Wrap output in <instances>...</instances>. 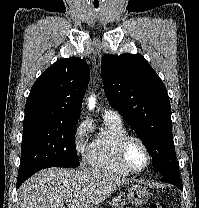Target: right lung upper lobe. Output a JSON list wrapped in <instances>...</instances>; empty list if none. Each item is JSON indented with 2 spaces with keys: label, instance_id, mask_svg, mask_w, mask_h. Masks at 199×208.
<instances>
[{
  "label": "right lung upper lobe",
  "instance_id": "right-lung-upper-lobe-1",
  "mask_svg": "<svg viewBox=\"0 0 199 208\" xmlns=\"http://www.w3.org/2000/svg\"><path fill=\"white\" fill-rule=\"evenodd\" d=\"M89 79V66L84 60L71 57L57 61L32 86L25 117L78 119Z\"/></svg>",
  "mask_w": 199,
  "mask_h": 208
}]
</instances>
